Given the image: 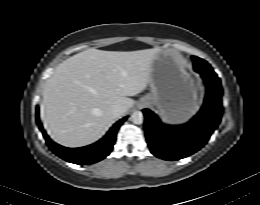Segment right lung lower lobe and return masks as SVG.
I'll use <instances>...</instances> for the list:
<instances>
[{
    "instance_id": "right-lung-lower-lobe-1",
    "label": "right lung lower lobe",
    "mask_w": 260,
    "mask_h": 205,
    "mask_svg": "<svg viewBox=\"0 0 260 205\" xmlns=\"http://www.w3.org/2000/svg\"><path fill=\"white\" fill-rule=\"evenodd\" d=\"M125 120L126 117L118 121L100 141L92 145L81 148H66L54 143L47 136L40 123L39 108H36V121L49 148L60 158L78 165L96 163L108 156L115 143L117 130Z\"/></svg>"
}]
</instances>
